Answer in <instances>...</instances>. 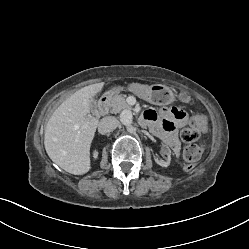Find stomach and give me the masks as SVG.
Segmentation results:
<instances>
[{
  "label": "stomach",
  "mask_w": 249,
  "mask_h": 249,
  "mask_svg": "<svg viewBox=\"0 0 249 249\" xmlns=\"http://www.w3.org/2000/svg\"><path fill=\"white\" fill-rule=\"evenodd\" d=\"M123 88L118 86L116 88L111 87L110 91L113 93L121 91ZM128 91L134 93L136 96L146 100L154 105H167L175 100V94L173 91L163 84H140L132 83L128 86Z\"/></svg>",
  "instance_id": "0dacf381"
}]
</instances>
